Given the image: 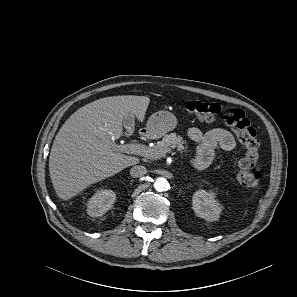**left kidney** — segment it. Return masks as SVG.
Here are the masks:
<instances>
[{
  "instance_id": "1",
  "label": "left kidney",
  "mask_w": 297,
  "mask_h": 297,
  "mask_svg": "<svg viewBox=\"0 0 297 297\" xmlns=\"http://www.w3.org/2000/svg\"><path fill=\"white\" fill-rule=\"evenodd\" d=\"M213 190H198L192 198V206L196 215L208 221H216L219 218L221 207L215 200Z\"/></svg>"
}]
</instances>
